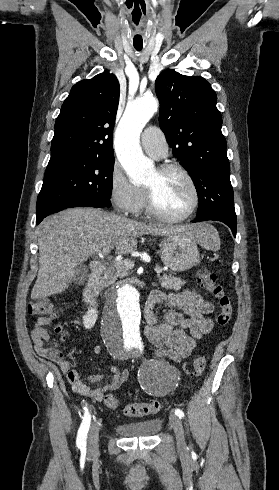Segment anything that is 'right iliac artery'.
I'll use <instances>...</instances> for the list:
<instances>
[{
    "instance_id": "obj_1",
    "label": "right iliac artery",
    "mask_w": 279,
    "mask_h": 490,
    "mask_svg": "<svg viewBox=\"0 0 279 490\" xmlns=\"http://www.w3.org/2000/svg\"><path fill=\"white\" fill-rule=\"evenodd\" d=\"M85 413L83 417V421L81 423V426L78 430L77 434V441L76 444L78 448H80L82 451H86V439H87V433L90 427V422H91V415L88 412V409L84 407Z\"/></svg>"
}]
</instances>
